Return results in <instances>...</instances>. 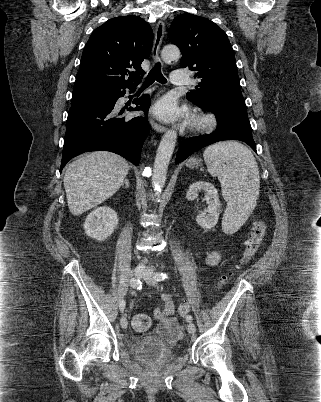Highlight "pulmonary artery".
Here are the masks:
<instances>
[{
    "instance_id": "e3ab8cb5",
    "label": "pulmonary artery",
    "mask_w": 321,
    "mask_h": 402,
    "mask_svg": "<svg viewBox=\"0 0 321 402\" xmlns=\"http://www.w3.org/2000/svg\"><path fill=\"white\" fill-rule=\"evenodd\" d=\"M170 82L174 86L187 84V78L183 69L174 70L170 75Z\"/></svg>"
}]
</instances>
